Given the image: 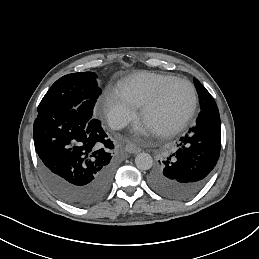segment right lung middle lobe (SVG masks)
<instances>
[{"mask_svg": "<svg viewBox=\"0 0 259 259\" xmlns=\"http://www.w3.org/2000/svg\"><path fill=\"white\" fill-rule=\"evenodd\" d=\"M94 72L72 73L58 79L41 100L38 113L75 109L87 119L95 118V102L101 93Z\"/></svg>", "mask_w": 259, "mask_h": 259, "instance_id": "dd1d6c3e", "label": "right lung middle lobe"}]
</instances>
